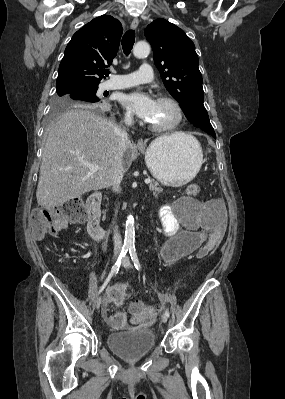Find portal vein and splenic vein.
<instances>
[{
  "label": "portal vein and splenic vein",
  "mask_w": 285,
  "mask_h": 399,
  "mask_svg": "<svg viewBox=\"0 0 285 399\" xmlns=\"http://www.w3.org/2000/svg\"><path fill=\"white\" fill-rule=\"evenodd\" d=\"M83 165H84L85 167L89 168L90 171H92V172H96V171L99 170V166L94 165V164H91V163H84ZM144 182H145V184H150V183H151V180H150V179H145Z\"/></svg>",
  "instance_id": "18ae733b"
}]
</instances>
